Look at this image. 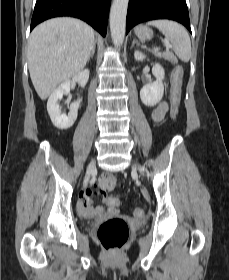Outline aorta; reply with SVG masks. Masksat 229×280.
<instances>
[{
	"instance_id": "762f6f07",
	"label": "aorta",
	"mask_w": 229,
	"mask_h": 280,
	"mask_svg": "<svg viewBox=\"0 0 229 280\" xmlns=\"http://www.w3.org/2000/svg\"><path fill=\"white\" fill-rule=\"evenodd\" d=\"M129 0H114L110 11V32L115 46L120 47L125 37L126 14Z\"/></svg>"
}]
</instances>
